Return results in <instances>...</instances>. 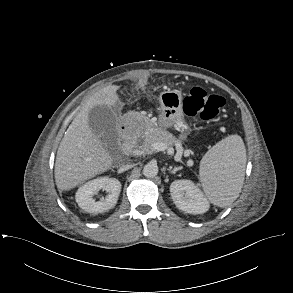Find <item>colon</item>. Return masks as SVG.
Here are the masks:
<instances>
[{"mask_svg":"<svg viewBox=\"0 0 293 293\" xmlns=\"http://www.w3.org/2000/svg\"><path fill=\"white\" fill-rule=\"evenodd\" d=\"M223 97L208 93L201 87H192L183 102L186 115L199 117L205 121L216 119L225 108Z\"/></svg>","mask_w":293,"mask_h":293,"instance_id":"colon-1","label":"colon"}]
</instances>
